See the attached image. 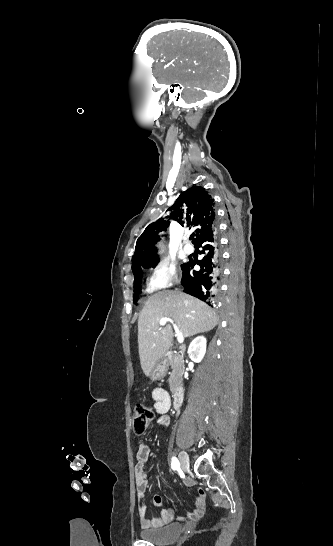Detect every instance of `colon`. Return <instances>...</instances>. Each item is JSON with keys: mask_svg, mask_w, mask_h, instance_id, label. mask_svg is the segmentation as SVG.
I'll return each mask as SVG.
<instances>
[{"mask_svg": "<svg viewBox=\"0 0 333 546\" xmlns=\"http://www.w3.org/2000/svg\"><path fill=\"white\" fill-rule=\"evenodd\" d=\"M133 431L137 435L143 434L154 418V411L147 405L138 404L133 411Z\"/></svg>", "mask_w": 333, "mask_h": 546, "instance_id": "5ec220e1", "label": "colon"}]
</instances>
